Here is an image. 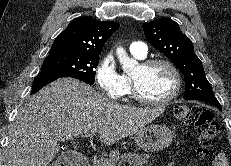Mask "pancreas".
Here are the masks:
<instances>
[{
  "instance_id": "obj_1",
  "label": "pancreas",
  "mask_w": 231,
  "mask_h": 166,
  "mask_svg": "<svg viewBox=\"0 0 231 166\" xmlns=\"http://www.w3.org/2000/svg\"><path fill=\"white\" fill-rule=\"evenodd\" d=\"M150 157L149 154L121 153L118 150H113L109 156L93 159L89 166H121L125 163H128L129 166H144L149 162Z\"/></svg>"
}]
</instances>
